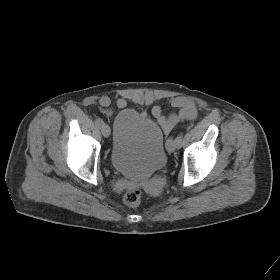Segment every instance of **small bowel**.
I'll list each match as a JSON object with an SVG mask.
<instances>
[{
    "label": "small bowel",
    "instance_id": "c3829d8e",
    "mask_svg": "<svg viewBox=\"0 0 280 280\" xmlns=\"http://www.w3.org/2000/svg\"><path fill=\"white\" fill-rule=\"evenodd\" d=\"M100 105L106 114H112L111 99L109 96L100 98ZM118 108L122 109L127 106L125 99H118L116 102ZM171 105L177 109L176 112L165 116L159 106H154L152 109L153 116L157 119L165 133H170L174 127L183 120H193L197 117L198 111L195 103L185 97L177 96L172 98Z\"/></svg>",
    "mask_w": 280,
    "mask_h": 280
}]
</instances>
